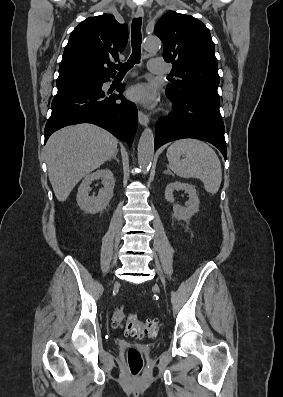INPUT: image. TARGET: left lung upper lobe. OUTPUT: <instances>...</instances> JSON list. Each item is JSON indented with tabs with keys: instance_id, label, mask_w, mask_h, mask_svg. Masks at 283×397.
<instances>
[{
	"instance_id": "5c2ea615",
	"label": "left lung upper lobe",
	"mask_w": 283,
	"mask_h": 397,
	"mask_svg": "<svg viewBox=\"0 0 283 397\" xmlns=\"http://www.w3.org/2000/svg\"><path fill=\"white\" fill-rule=\"evenodd\" d=\"M162 40L163 58L171 62L173 75L180 80L167 85L174 95L198 94L220 101L218 62L209 29L198 19L168 11L155 26Z\"/></svg>"
}]
</instances>
